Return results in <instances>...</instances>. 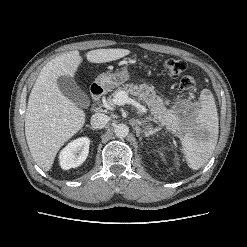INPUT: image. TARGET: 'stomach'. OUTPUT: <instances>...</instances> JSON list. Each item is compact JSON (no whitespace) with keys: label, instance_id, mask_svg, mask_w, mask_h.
Returning a JSON list of instances; mask_svg holds the SVG:
<instances>
[{"label":"stomach","instance_id":"obj_1","mask_svg":"<svg viewBox=\"0 0 247 247\" xmlns=\"http://www.w3.org/2000/svg\"><path fill=\"white\" fill-rule=\"evenodd\" d=\"M130 78L129 72L126 68L117 73H102L96 79L95 83L102 88L111 89L120 86ZM172 113V112H171ZM173 114V113H172ZM194 120H187L184 117L173 114V125L169 127L170 130L183 136L191 130Z\"/></svg>","mask_w":247,"mask_h":247}]
</instances>
